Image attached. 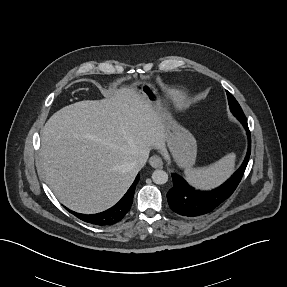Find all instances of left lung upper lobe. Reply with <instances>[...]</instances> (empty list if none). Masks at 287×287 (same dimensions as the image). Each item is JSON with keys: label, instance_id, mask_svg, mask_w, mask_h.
Here are the masks:
<instances>
[{"label": "left lung upper lobe", "instance_id": "obj_1", "mask_svg": "<svg viewBox=\"0 0 287 287\" xmlns=\"http://www.w3.org/2000/svg\"><path fill=\"white\" fill-rule=\"evenodd\" d=\"M226 92H227L229 107H230V110L233 113V115L236 116L237 118H245V115H244L239 103L231 95L230 92H228V91H226Z\"/></svg>", "mask_w": 287, "mask_h": 287}]
</instances>
